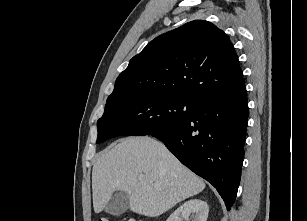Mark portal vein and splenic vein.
I'll list each match as a JSON object with an SVG mask.
<instances>
[{
    "mask_svg": "<svg viewBox=\"0 0 307 221\" xmlns=\"http://www.w3.org/2000/svg\"><path fill=\"white\" fill-rule=\"evenodd\" d=\"M143 178H144V176H143V175H140V176H139V179H143Z\"/></svg>",
    "mask_w": 307,
    "mask_h": 221,
    "instance_id": "1",
    "label": "portal vein and splenic vein"
}]
</instances>
